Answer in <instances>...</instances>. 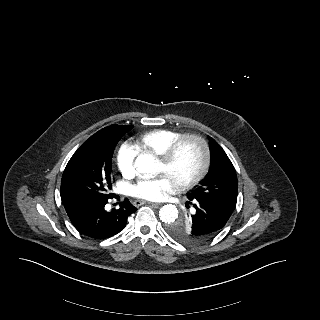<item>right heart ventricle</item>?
I'll return each instance as SVG.
<instances>
[{"label":"right heart ventricle","mask_w":320,"mask_h":320,"mask_svg":"<svg viewBox=\"0 0 320 320\" xmlns=\"http://www.w3.org/2000/svg\"><path fill=\"white\" fill-rule=\"evenodd\" d=\"M181 135L180 132L171 129H155L139 136L137 146L144 151L161 156Z\"/></svg>","instance_id":"e07e8e85"}]
</instances>
